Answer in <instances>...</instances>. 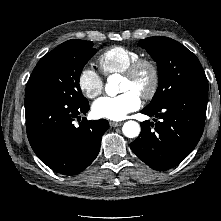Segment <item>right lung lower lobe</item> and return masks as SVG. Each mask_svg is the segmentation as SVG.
<instances>
[{"label": "right lung lower lobe", "mask_w": 221, "mask_h": 221, "mask_svg": "<svg viewBox=\"0 0 221 221\" xmlns=\"http://www.w3.org/2000/svg\"><path fill=\"white\" fill-rule=\"evenodd\" d=\"M89 103L72 106L46 96L25 95L27 136L40 160L55 172L75 175L87 168L100 150L103 133L109 128L105 119L73 120L86 114Z\"/></svg>", "instance_id": "obj_1"}]
</instances>
